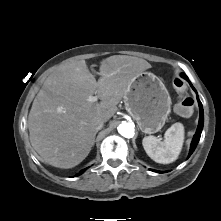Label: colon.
Listing matches in <instances>:
<instances>
[{
	"label": "colon",
	"instance_id": "1",
	"mask_svg": "<svg viewBox=\"0 0 221 221\" xmlns=\"http://www.w3.org/2000/svg\"><path fill=\"white\" fill-rule=\"evenodd\" d=\"M173 87L180 95V100L176 104L175 110L182 117H189L193 113L194 102L193 99L185 95L186 84L183 79L176 77L173 80Z\"/></svg>",
	"mask_w": 221,
	"mask_h": 221
}]
</instances>
